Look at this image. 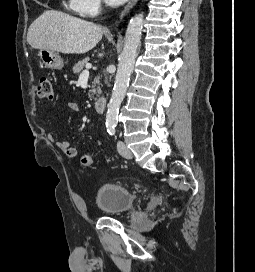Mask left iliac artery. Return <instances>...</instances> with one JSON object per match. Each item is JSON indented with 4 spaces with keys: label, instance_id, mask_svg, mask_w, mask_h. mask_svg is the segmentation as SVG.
Segmentation results:
<instances>
[{
    "label": "left iliac artery",
    "instance_id": "44dca946",
    "mask_svg": "<svg viewBox=\"0 0 255 272\" xmlns=\"http://www.w3.org/2000/svg\"><path fill=\"white\" fill-rule=\"evenodd\" d=\"M108 133L110 134V135H114L115 134V128L114 127H110V128H108Z\"/></svg>",
    "mask_w": 255,
    "mask_h": 272
}]
</instances>
